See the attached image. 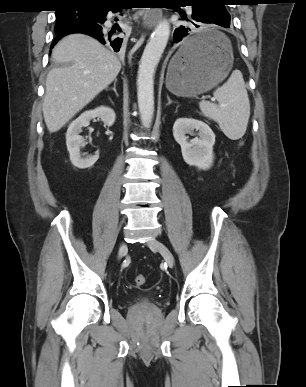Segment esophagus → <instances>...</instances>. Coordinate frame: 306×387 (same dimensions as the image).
<instances>
[{
	"label": "esophagus",
	"mask_w": 306,
	"mask_h": 387,
	"mask_svg": "<svg viewBox=\"0 0 306 387\" xmlns=\"http://www.w3.org/2000/svg\"><path fill=\"white\" fill-rule=\"evenodd\" d=\"M162 18V10L159 8H150L144 12L143 26L145 28L154 27Z\"/></svg>",
	"instance_id": "obj_1"
}]
</instances>
